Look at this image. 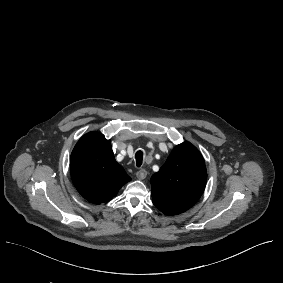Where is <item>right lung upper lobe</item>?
<instances>
[{"mask_svg":"<svg viewBox=\"0 0 283 283\" xmlns=\"http://www.w3.org/2000/svg\"><path fill=\"white\" fill-rule=\"evenodd\" d=\"M70 171L78 192L100 204L112 199L131 178L115 160L111 141L98 132L81 137L70 158Z\"/></svg>","mask_w":283,"mask_h":283,"instance_id":"1","label":"right lung upper lobe"}]
</instances>
